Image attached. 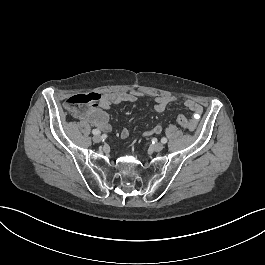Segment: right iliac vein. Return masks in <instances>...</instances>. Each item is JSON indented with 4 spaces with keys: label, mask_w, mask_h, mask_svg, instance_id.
I'll use <instances>...</instances> for the list:
<instances>
[{
    "label": "right iliac vein",
    "mask_w": 265,
    "mask_h": 265,
    "mask_svg": "<svg viewBox=\"0 0 265 265\" xmlns=\"http://www.w3.org/2000/svg\"><path fill=\"white\" fill-rule=\"evenodd\" d=\"M92 140L95 142V143H99L101 140H102V137L97 134V135H94Z\"/></svg>",
    "instance_id": "obj_1"
}]
</instances>
